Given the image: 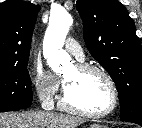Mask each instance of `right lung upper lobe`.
<instances>
[{
    "instance_id": "obj_1",
    "label": "right lung upper lobe",
    "mask_w": 142,
    "mask_h": 128,
    "mask_svg": "<svg viewBox=\"0 0 142 128\" xmlns=\"http://www.w3.org/2000/svg\"><path fill=\"white\" fill-rule=\"evenodd\" d=\"M39 5L21 0L0 4V68L27 64Z\"/></svg>"
}]
</instances>
